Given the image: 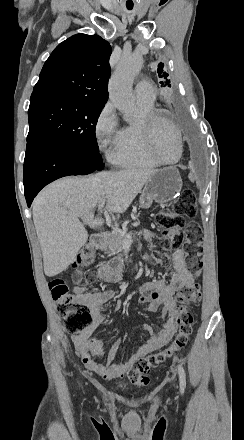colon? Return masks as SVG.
Listing matches in <instances>:
<instances>
[{
  "label": "colon",
  "instance_id": "1",
  "mask_svg": "<svg viewBox=\"0 0 244 440\" xmlns=\"http://www.w3.org/2000/svg\"><path fill=\"white\" fill-rule=\"evenodd\" d=\"M197 214L198 208L194 191L191 189L182 191L172 211H164L157 215V225L160 229H165L166 233L162 238H153L151 243L156 249L158 261L162 263L168 261L167 251L183 248L188 270L193 276L200 277L203 269V230L197 222L186 224V220L195 218ZM81 255L83 257L82 263H75V272H86L87 267L93 264V248H82ZM93 281L94 278L90 275L86 282L91 284ZM48 287L53 301L57 304L59 314L62 317L69 315L67 319L68 329L72 330V325L75 324L76 319L91 317L88 304H75V300L63 278H52L48 282ZM177 297L178 304L174 307V310L178 314L171 319L176 328L173 340L164 351L147 354L132 361L129 379L133 383L146 382L148 379L146 372L156 369L187 346L194 322L190 303L200 301V287L197 285L184 286Z\"/></svg>",
  "mask_w": 244,
  "mask_h": 440
}]
</instances>
